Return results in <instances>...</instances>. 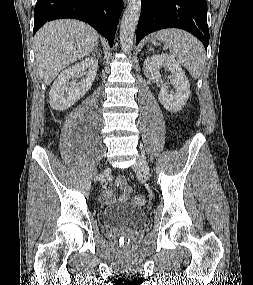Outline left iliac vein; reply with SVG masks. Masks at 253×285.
Masks as SVG:
<instances>
[{"instance_id": "1", "label": "left iliac vein", "mask_w": 253, "mask_h": 285, "mask_svg": "<svg viewBox=\"0 0 253 285\" xmlns=\"http://www.w3.org/2000/svg\"><path fill=\"white\" fill-rule=\"evenodd\" d=\"M133 169L138 173H143L145 176H149V167L143 156H138L137 162L133 166Z\"/></svg>"}]
</instances>
